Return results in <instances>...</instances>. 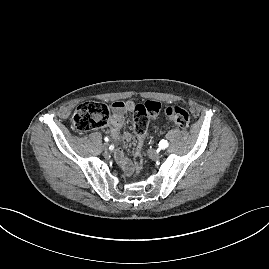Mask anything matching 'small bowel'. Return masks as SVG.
<instances>
[{
  "label": "small bowel",
  "instance_id": "1",
  "mask_svg": "<svg viewBox=\"0 0 269 269\" xmlns=\"http://www.w3.org/2000/svg\"><path fill=\"white\" fill-rule=\"evenodd\" d=\"M135 103L132 101H116L112 105V117L108 125V131L111 134L114 141H118L120 138L119 132L125 123V113L133 112L135 109ZM124 140L131 141L132 135L129 132L123 134ZM115 159L122 167L123 171L127 175H132L135 171L132 161L127 157L123 148H117L115 151Z\"/></svg>",
  "mask_w": 269,
  "mask_h": 269
}]
</instances>
